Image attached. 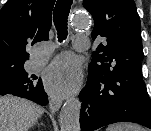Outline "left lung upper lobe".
<instances>
[{"mask_svg":"<svg viewBox=\"0 0 151 131\" xmlns=\"http://www.w3.org/2000/svg\"><path fill=\"white\" fill-rule=\"evenodd\" d=\"M93 16V40H102L92 54L90 77L106 79L136 67L144 57L140 18L134 0H84Z\"/></svg>","mask_w":151,"mask_h":131,"instance_id":"obj_1","label":"left lung upper lobe"}]
</instances>
